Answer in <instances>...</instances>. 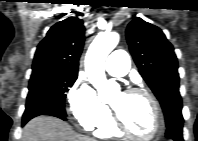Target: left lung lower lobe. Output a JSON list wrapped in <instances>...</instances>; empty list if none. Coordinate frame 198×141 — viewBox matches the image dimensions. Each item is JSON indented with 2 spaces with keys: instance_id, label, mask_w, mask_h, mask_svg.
I'll list each match as a JSON object with an SVG mask.
<instances>
[{
  "instance_id": "0a47b994",
  "label": "left lung lower lobe",
  "mask_w": 198,
  "mask_h": 141,
  "mask_svg": "<svg viewBox=\"0 0 198 141\" xmlns=\"http://www.w3.org/2000/svg\"><path fill=\"white\" fill-rule=\"evenodd\" d=\"M166 137L175 141H183L182 125L173 124L170 128L167 129Z\"/></svg>"
}]
</instances>
